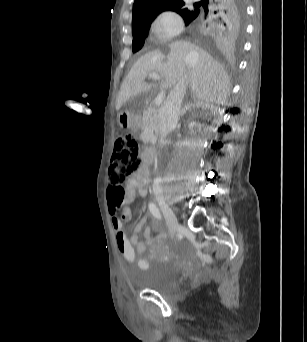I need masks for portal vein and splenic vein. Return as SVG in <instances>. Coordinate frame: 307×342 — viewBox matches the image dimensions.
I'll list each match as a JSON object with an SVG mask.
<instances>
[{
	"label": "portal vein and splenic vein",
	"instance_id": "1",
	"mask_svg": "<svg viewBox=\"0 0 307 342\" xmlns=\"http://www.w3.org/2000/svg\"><path fill=\"white\" fill-rule=\"evenodd\" d=\"M149 78H152V80H161L159 74H148ZM167 88L165 86H162L160 88L159 94L156 95V97L153 100L154 105H161L162 101L165 99Z\"/></svg>",
	"mask_w": 307,
	"mask_h": 342
}]
</instances>
